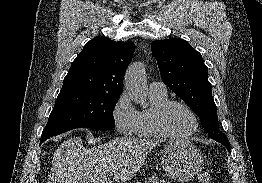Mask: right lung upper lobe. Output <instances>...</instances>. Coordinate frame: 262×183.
I'll return each instance as SVG.
<instances>
[{"label":"right lung upper lobe","mask_w":262,"mask_h":183,"mask_svg":"<svg viewBox=\"0 0 262 183\" xmlns=\"http://www.w3.org/2000/svg\"><path fill=\"white\" fill-rule=\"evenodd\" d=\"M134 51L131 42L93 38L74 59L60 93L83 90L121 95L124 74Z\"/></svg>","instance_id":"1"}]
</instances>
